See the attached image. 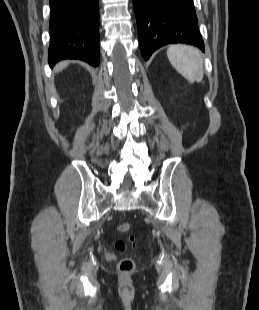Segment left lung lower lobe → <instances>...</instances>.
Instances as JSON below:
<instances>
[{
    "label": "left lung lower lobe",
    "instance_id": "obj_1",
    "mask_svg": "<svg viewBox=\"0 0 259 310\" xmlns=\"http://www.w3.org/2000/svg\"><path fill=\"white\" fill-rule=\"evenodd\" d=\"M142 56L158 48L186 43L204 50L193 0H133Z\"/></svg>",
    "mask_w": 259,
    "mask_h": 310
}]
</instances>
